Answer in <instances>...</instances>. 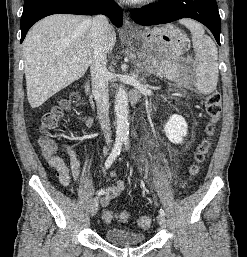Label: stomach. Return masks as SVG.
Returning a JSON list of instances; mask_svg holds the SVG:
<instances>
[{
	"label": "stomach",
	"mask_w": 247,
	"mask_h": 257,
	"mask_svg": "<svg viewBox=\"0 0 247 257\" xmlns=\"http://www.w3.org/2000/svg\"><path fill=\"white\" fill-rule=\"evenodd\" d=\"M129 36L137 42L138 49L131 55L136 59L139 67L148 69L161 64H170L174 72L171 80L177 81L185 87H191L195 82V74H187V69L179 63L184 54L186 35L173 25L158 28H146Z\"/></svg>",
	"instance_id": "obj_1"
}]
</instances>
